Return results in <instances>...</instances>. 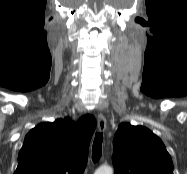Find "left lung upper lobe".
<instances>
[{
    "instance_id": "1",
    "label": "left lung upper lobe",
    "mask_w": 187,
    "mask_h": 174,
    "mask_svg": "<svg viewBox=\"0 0 187 174\" xmlns=\"http://www.w3.org/2000/svg\"><path fill=\"white\" fill-rule=\"evenodd\" d=\"M115 174H173L163 142L143 126L119 125L113 140Z\"/></svg>"
}]
</instances>
